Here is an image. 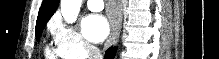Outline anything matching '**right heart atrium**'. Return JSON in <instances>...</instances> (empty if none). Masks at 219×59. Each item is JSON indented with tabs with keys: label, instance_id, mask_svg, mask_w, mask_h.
Wrapping results in <instances>:
<instances>
[{
	"label": "right heart atrium",
	"instance_id": "d8ad5b80",
	"mask_svg": "<svg viewBox=\"0 0 219 59\" xmlns=\"http://www.w3.org/2000/svg\"><path fill=\"white\" fill-rule=\"evenodd\" d=\"M55 45L67 59H86L93 55L94 47L78 30L62 22H56L51 29Z\"/></svg>",
	"mask_w": 219,
	"mask_h": 59
}]
</instances>
